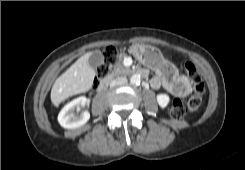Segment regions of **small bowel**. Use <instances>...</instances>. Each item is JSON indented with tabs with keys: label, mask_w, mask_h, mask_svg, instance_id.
<instances>
[{
	"label": "small bowel",
	"mask_w": 245,
	"mask_h": 170,
	"mask_svg": "<svg viewBox=\"0 0 245 170\" xmlns=\"http://www.w3.org/2000/svg\"><path fill=\"white\" fill-rule=\"evenodd\" d=\"M146 74V71H144ZM177 81H184V77L178 70L169 63H163L157 70L155 75L150 80V85L154 89L163 86L170 93H174L173 86Z\"/></svg>",
	"instance_id": "small-bowel-1"
}]
</instances>
